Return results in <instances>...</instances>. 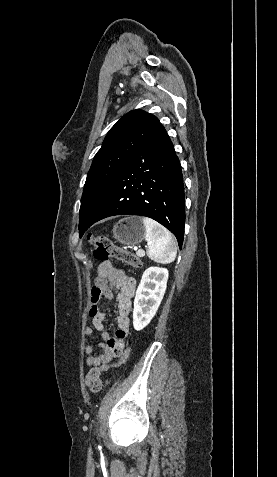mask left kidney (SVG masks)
Returning a JSON list of instances; mask_svg holds the SVG:
<instances>
[{
	"mask_svg": "<svg viewBox=\"0 0 277 477\" xmlns=\"http://www.w3.org/2000/svg\"><path fill=\"white\" fill-rule=\"evenodd\" d=\"M168 276V270L159 267H150L143 273L134 299L135 330L145 328L156 314L166 291Z\"/></svg>",
	"mask_w": 277,
	"mask_h": 477,
	"instance_id": "1",
	"label": "left kidney"
}]
</instances>
